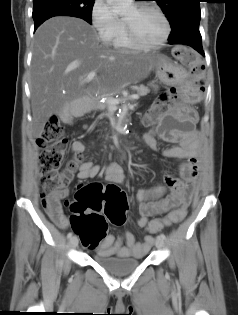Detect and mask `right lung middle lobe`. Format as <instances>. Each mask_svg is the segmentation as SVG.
<instances>
[{
  "mask_svg": "<svg viewBox=\"0 0 238 315\" xmlns=\"http://www.w3.org/2000/svg\"><path fill=\"white\" fill-rule=\"evenodd\" d=\"M33 19L50 13H65L92 24L94 0H33Z\"/></svg>",
  "mask_w": 238,
  "mask_h": 315,
  "instance_id": "dd1d6c3e",
  "label": "right lung middle lobe"
}]
</instances>
